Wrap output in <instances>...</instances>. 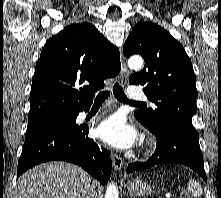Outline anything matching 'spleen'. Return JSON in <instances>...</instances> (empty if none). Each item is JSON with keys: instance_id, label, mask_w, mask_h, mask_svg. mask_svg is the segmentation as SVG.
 I'll use <instances>...</instances> for the list:
<instances>
[{"instance_id": "1", "label": "spleen", "mask_w": 221, "mask_h": 198, "mask_svg": "<svg viewBox=\"0 0 221 198\" xmlns=\"http://www.w3.org/2000/svg\"><path fill=\"white\" fill-rule=\"evenodd\" d=\"M187 187L192 196L200 197L202 195V188L196 181L189 180Z\"/></svg>"}]
</instances>
